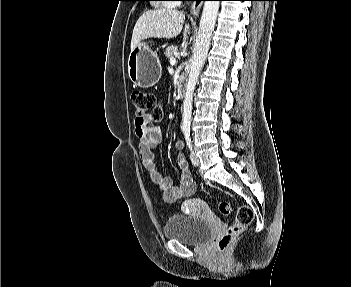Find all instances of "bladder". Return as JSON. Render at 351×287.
<instances>
[{
  "label": "bladder",
  "instance_id": "31cf9c89",
  "mask_svg": "<svg viewBox=\"0 0 351 287\" xmlns=\"http://www.w3.org/2000/svg\"><path fill=\"white\" fill-rule=\"evenodd\" d=\"M163 233L166 239L196 246L211 236V224L202 217L174 214L166 221Z\"/></svg>",
  "mask_w": 351,
  "mask_h": 287
}]
</instances>
